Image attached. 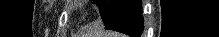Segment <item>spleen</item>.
Returning <instances> with one entry per match:
<instances>
[{
  "label": "spleen",
  "instance_id": "1",
  "mask_svg": "<svg viewBox=\"0 0 219 37\" xmlns=\"http://www.w3.org/2000/svg\"><path fill=\"white\" fill-rule=\"evenodd\" d=\"M107 37H123V36H121L120 34H114V33H110L109 34V36H107Z\"/></svg>",
  "mask_w": 219,
  "mask_h": 37
}]
</instances>
